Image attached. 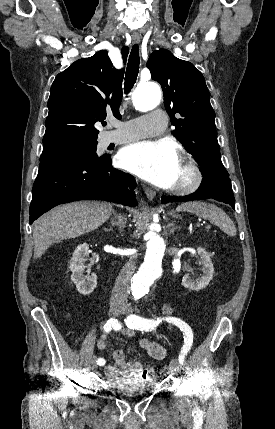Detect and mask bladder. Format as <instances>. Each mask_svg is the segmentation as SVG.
I'll return each mask as SVG.
<instances>
[{"label":"bladder","instance_id":"bladder-1","mask_svg":"<svg viewBox=\"0 0 275 429\" xmlns=\"http://www.w3.org/2000/svg\"><path fill=\"white\" fill-rule=\"evenodd\" d=\"M117 398H142L143 393H155V384H148V378H117L108 381Z\"/></svg>","mask_w":275,"mask_h":429}]
</instances>
